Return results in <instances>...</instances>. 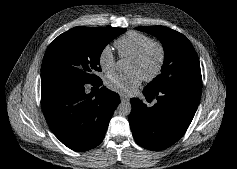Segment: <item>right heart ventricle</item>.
I'll return each mask as SVG.
<instances>
[{"label": "right heart ventricle", "instance_id": "1", "mask_svg": "<svg viewBox=\"0 0 237 169\" xmlns=\"http://www.w3.org/2000/svg\"><path fill=\"white\" fill-rule=\"evenodd\" d=\"M153 39L141 32L130 31L115 41V45L121 56H133L142 50Z\"/></svg>", "mask_w": 237, "mask_h": 169}]
</instances>
